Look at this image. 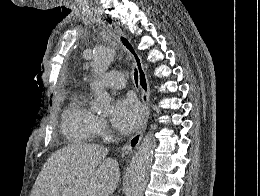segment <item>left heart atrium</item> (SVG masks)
I'll return each instance as SVG.
<instances>
[{"label": "left heart atrium", "instance_id": "39dd6f15", "mask_svg": "<svg viewBox=\"0 0 260 196\" xmlns=\"http://www.w3.org/2000/svg\"><path fill=\"white\" fill-rule=\"evenodd\" d=\"M143 113V107L137 99L124 96L114 103L110 121L119 132L129 134L138 127Z\"/></svg>", "mask_w": 260, "mask_h": 196}]
</instances>
